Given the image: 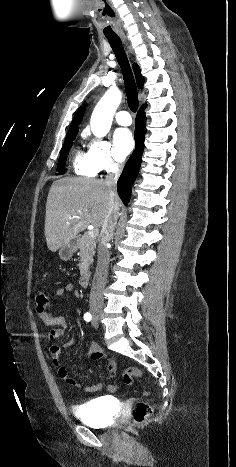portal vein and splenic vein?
<instances>
[{
    "label": "portal vein and splenic vein",
    "instance_id": "18ae733b",
    "mask_svg": "<svg viewBox=\"0 0 236 467\" xmlns=\"http://www.w3.org/2000/svg\"><path fill=\"white\" fill-rule=\"evenodd\" d=\"M68 218L71 219V216H68ZM98 233H99L98 228H92V229L88 232V235H89L90 237L93 238V237H96V236L98 235Z\"/></svg>",
    "mask_w": 236,
    "mask_h": 467
}]
</instances>
